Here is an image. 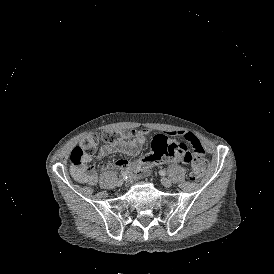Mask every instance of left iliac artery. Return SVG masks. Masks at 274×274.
<instances>
[{"label":"left iliac artery","instance_id":"44dca946","mask_svg":"<svg viewBox=\"0 0 274 274\" xmlns=\"http://www.w3.org/2000/svg\"><path fill=\"white\" fill-rule=\"evenodd\" d=\"M159 174L162 175V176H165L166 175V171L165 170H160Z\"/></svg>","mask_w":274,"mask_h":274}]
</instances>
